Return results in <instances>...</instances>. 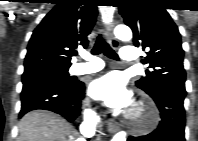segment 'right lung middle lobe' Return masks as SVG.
<instances>
[{"mask_svg":"<svg viewBox=\"0 0 198 141\" xmlns=\"http://www.w3.org/2000/svg\"><path fill=\"white\" fill-rule=\"evenodd\" d=\"M40 81L54 82L66 87L77 82L69 77L68 68H41L24 72L22 75L23 84Z\"/></svg>","mask_w":198,"mask_h":141,"instance_id":"dd1d6c3e","label":"right lung middle lobe"}]
</instances>
